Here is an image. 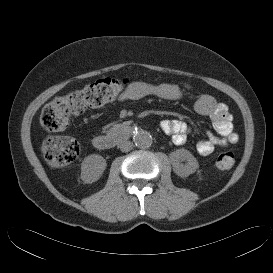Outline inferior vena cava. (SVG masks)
<instances>
[{
	"label": "inferior vena cava",
	"mask_w": 273,
	"mask_h": 273,
	"mask_svg": "<svg viewBox=\"0 0 273 273\" xmlns=\"http://www.w3.org/2000/svg\"><path fill=\"white\" fill-rule=\"evenodd\" d=\"M133 143L131 141L124 140L119 144V148L122 152H128L133 149Z\"/></svg>",
	"instance_id": "1"
}]
</instances>
